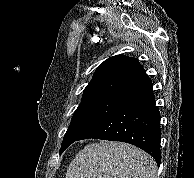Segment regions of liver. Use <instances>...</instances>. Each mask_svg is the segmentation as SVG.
<instances>
[{
    "instance_id": "obj_1",
    "label": "liver",
    "mask_w": 194,
    "mask_h": 178,
    "mask_svg": "<svg viewBox=\"0 0 194 178\" xmlns=\"http://www.w3.org/2000/svg\"><path fill=\"white\" fill-rule=\"evenodd\" d=\"M157 165L143 150L122 142L92 143L70 163L66 178H156Z\"/></svg>"
}]
</instances>
